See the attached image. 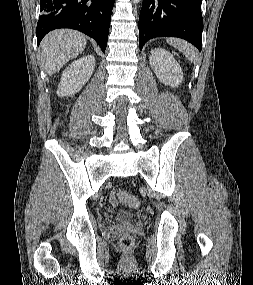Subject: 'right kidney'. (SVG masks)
Segmentation results:
<instances>
[{
    "label": "right kidney",
    "mask_w": 253,
    "mask_h": 285,
    "mask_svg": "<svg viewBox=\"0 0 253 285\" xmlns=\"http://www.w3.org/2000/svg\"><path fill=\"white\" fill-rule=\"evenodd\" d=\"M94 67L95 57L93 55L73 61L62 73L57 95L65 97L79 92L92 76Z\"/></svg>",
    "instance_id": "ca27d5eb"
}]
</instances>
